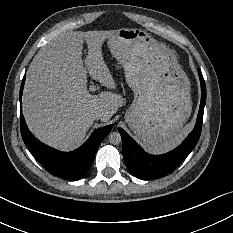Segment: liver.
I'll use <instances>...</instances> for the list:
<instances>
[{"label":"liver","mask_w":233,"mask_h":233,"mask_svg":"<svg viewBox=\"0 0 233 233\" xmlns=\"http://www.w3.org/2000/svg\"><path fill=\"white\" fill-rule=\"evenodd\" d=\"M114 30L69 31L55 36L31 62L23 90V114L42 142L61 149L79 146L93 124L91 114L107 122L123 106L116 82L106 65L102 46ZM88 54L83 60V43ZM88 74L106 91L91 94Z\"/></svg>","instance_id":"6515ba94"}]
</instances>
